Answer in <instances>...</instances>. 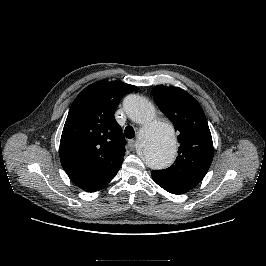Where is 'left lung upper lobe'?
<instances>
[{"label":"left lung upper lobe","mask_w":266,"mask_h":266,"mask_svg":"<svg viewBox=\"0 0 266 266\" xmlns=\"http://www.w3.org/2000/svg\"><path fill=\"white\" fill-rule=\"evenodd\" d=\"M155 96L160 109L179 132L180 147L173 165L152 173L190 190L204 178L213 159L212 137L205 114L199 103L181 88L157 85Z\"/></svg>","instance_id":"left-lung-upper-lobe-1"}]
</instances>
